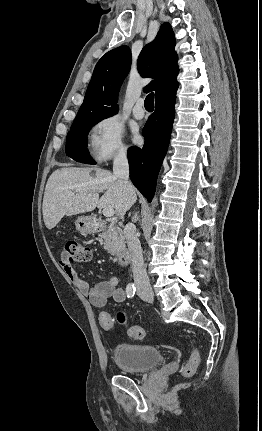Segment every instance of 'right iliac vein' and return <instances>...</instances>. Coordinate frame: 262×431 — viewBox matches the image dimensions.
Wrapping results in <instances>:
<instances>
[{
    "label": "right iliac vein",
    "mask_w": 262,
    "mask_h": 431,
    "mask_svg": "<svg viewBox=\"0 0 262 431\" xmlns=\"http://www.w3.org/2000/svg\"><path fill=\"white\" fill-rule=\"evenodd\" d=\"M139 295L142 299L152 302L154 300V294L151 291L144 292L142 290L139 291Z\"/></svg>",
    "instance_id": "1"
}]
</instances>
